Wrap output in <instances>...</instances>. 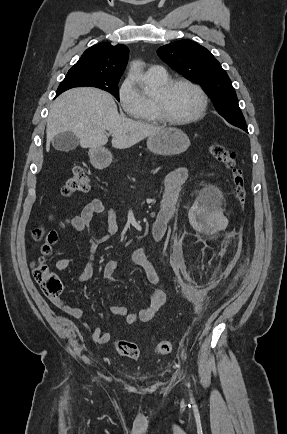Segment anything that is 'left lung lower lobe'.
Instances as JSON below:
<instances>
[{"label":"left lung lower lobe","mask_w":287,"mask_h":434,"mask_svg":"<svg viewBox=\"0 0 287 434\" xmlns=\"http://www.w3.org/2000/svg\"><path fill=\"white\" fill-rule=\"evenodd\" d=\"M234 126H237L241 129H243L244 131L248 132L247 128H246V124H232Z\"/></svg>","instance_id":"obj_1"}]
</instances>
